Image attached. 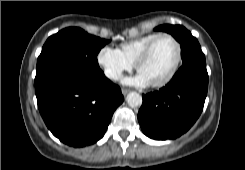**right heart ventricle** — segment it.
Here are the masks:
<instances>
[{
  "instance_id": "obj_1",
  "label": "right heart ventricle",
  "mask_w": 245,
  "mask_h": 170,
  "mask_svg": "<svg viewBox=\"0 0 245 170\" xmlns=\"http://www.w3.org/2000/svg\"><path fill=\"white\" fill-rule=\"evenodd\" d=\"M159 34L160 33H150L125 42L121 45V52L130 62L134 63L146 45Z\"/></svg>"
}]
</instances>
